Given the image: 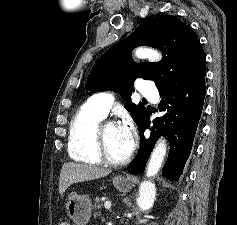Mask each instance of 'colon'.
Instances as JSON below:
<instances>
[{"label":"colon","mask_w":237,"mask_h":225,"mask_svg":"<svg viewBox=\"0 0 237 225\" xmlns=\"http://www.w3.org/2000/svg\"><path fill=\"white\" fill-rule=\"evenodd\" d=\"M57 225H70L69 222L65 219H61Z\"/></svg>","instance_id":"obj_1"}]
</instances>
